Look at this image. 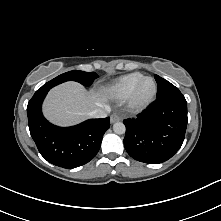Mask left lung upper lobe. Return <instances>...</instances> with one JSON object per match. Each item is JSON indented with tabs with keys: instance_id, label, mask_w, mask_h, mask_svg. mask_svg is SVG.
I'll return each instance as SVG.
<instances>
[{
	"instance_id": "1",
	"label": "left lung upper lobe",
	"mask_w": 221,
	"mask_h": 221,
	"mask_svg": "<svg viewBox=\"0 0 221 221\" xmlns=\"http://www.w3.org/2000/svg\"><path fill=\"white\" fill-rule=\"evenodd\" d=\"M154 77L158 85L157 99L182 94L177 87H175L173 84H171L167 80L161 78L160 76L156 74L154 75Z\"/></svg>"
}]
</instances>
